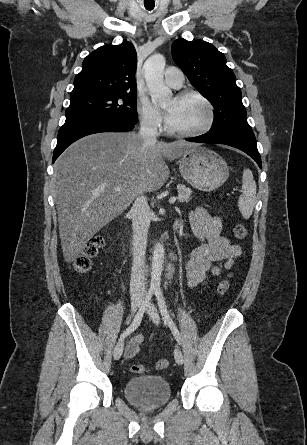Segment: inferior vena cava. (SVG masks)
I'll use <instances>...</instances> for the list:
<instances>
[{"label": "inferior vena cava", "instance_id": "obj_1", "mask_svg": "<svg viewBox=\"0 0 307 445\" xmlns=\"http://www.w3.org/2000/svg\"><path fill=\"white\" fill-rule=\"evenodd\" d=\"M138 134L147 144H155L157 142V126L152 124L147 116L141 118ZM142 192L143 190L138 194L130 210L133 227V267L130 281L132 304H141L142 297L146 293L143 267L150 225V208L145 196H142Z\"/></svg>", "mask_w": 307, "mask_h": 445}]
</instances>
